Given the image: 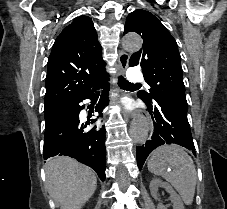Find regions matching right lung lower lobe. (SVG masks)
<instances>
[{
	"label": "right lung lower lobe",
	"instance_id": "obj_1",
	"mask_svg": "<svg viewBox=\"0 0 227 209\" xmlns=\"http://www.w3.org/2000/svg\"><path fill=\"white\" fill-rule=\"evenodd\" d=\"M107 76L95 82L92 87L82 95L68 101L62 112L46 125L44 136V159L53 156H70L79 162L93 168L101 180H105V128L94 126L86 130L88 124L79 121V113L84 108L79 103L85 99H92L94 91L101 87L106 88ZM108 103V99L101 97L95 111L101 115Z\"/></svg>",
	"mask_w": 227,
	"mask_h": 209
}]
</instances>
